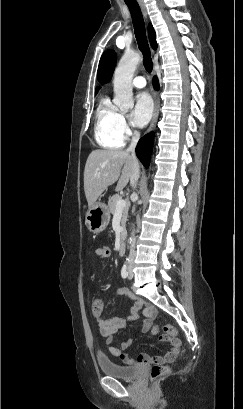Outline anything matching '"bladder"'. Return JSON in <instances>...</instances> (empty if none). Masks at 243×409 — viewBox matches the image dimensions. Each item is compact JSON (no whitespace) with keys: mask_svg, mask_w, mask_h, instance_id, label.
<instances>
[{"mask_svg":"<svg viewBox=\"0 0 243 409\" xmlns=\"http://www.w3.org/2000/svg\"><path fill=\"white\" fill-rule=\"evenodd\" d=\"M100 370L107 376L121 379V380H133L141 373L139 366H125L118 364L111 359L103 360L97 359Z\"/></svg>","mask_w":243,"mask_h":409,"instance_id":"31cf9c89","label":"bladder"}]
</instances>
